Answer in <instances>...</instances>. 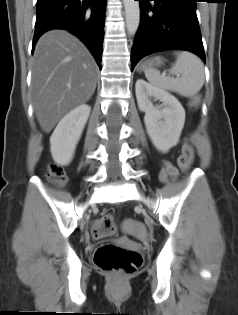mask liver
I'll list each match as a JSON object with an SVG mask.
<instances>
[{"label": "liver", "instance_id": "6515ba94", "mask_svg": "<svg viewBox=\"0 0 238 315\" xmlns=\"http://www.w3.org/2000/svg\"><path fill=\"white\" fill-rule=\"evenodd\" d=\"M97 65L85 45L64 30L38 40L32 63V98L37 120L49 133L73 108L87 102L97 83Z\"/></svg>", "mask_w": 238, "mask_h": 315}]
</instances>
